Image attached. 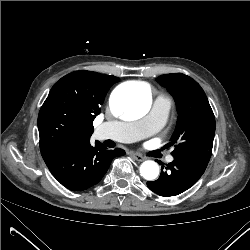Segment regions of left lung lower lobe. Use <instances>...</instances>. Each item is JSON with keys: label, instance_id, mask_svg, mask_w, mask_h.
Here are the masks:
<instances>
[{"label": "left lung lower lobe", "instance_id": "left-lung-lower-lobe-1", "mask_svg": "<svg viewBox=\"0 0 250 250\" xmlns=\"http://www.w3.org/2000/svg\"><path fill=\"white\" fill-rule=\"evenodd\" d=\"M210 157V151L188 152L176 156L171 163L167 164L168 172L163 171L162 168L159 179L147 182V186L160 196L178 195L198 181L204 173Z\"/></svg>", "mask_w": 250, "mask_h": 250}]
</instances>
